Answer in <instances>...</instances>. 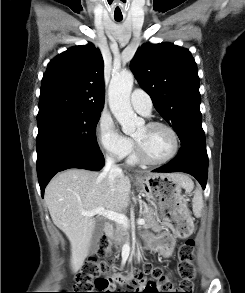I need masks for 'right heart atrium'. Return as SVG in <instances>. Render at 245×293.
Segmentation results:
<instances>
[{"instance_id":"1","label":"right heart atrium","mask_w":245,"mask_h":293,"mask_svg":"<svg viewBox=\"0 0 245 293\" xmlns=\"http://www.w3.org/2000/svg\"><path fill=\"white\" fill-rule=\"evenodd\" d=\"M97 138L107 156L114 159L126 157L133 148L132 141L121 135L111 119L101 117L97 126Z\"/></svg>"}]
</instances>
